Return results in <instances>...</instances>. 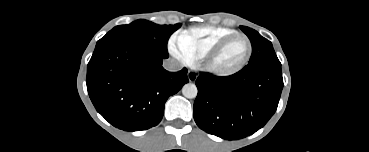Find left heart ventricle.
Returning a JSON list of instances; mask_svg holds the SVG:
<instances>
[{"label": "left heart ventricle", "mask_w": 369, "mask_h": 152, "mask_svg": "<svg viewBox=\"0 0 369 152\" xmlns=\"http://www.w3.org/2000/svg\"><path fill=\"white\" fill-rule=\"evenodd\" d=\"M247 48V42L244 39H234L216 57L214 66L220 70H229L236 67L245 58Z\"/></svg>", "instance_id": "b2bd125f"}]
</instances>
